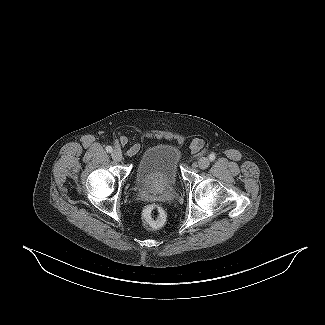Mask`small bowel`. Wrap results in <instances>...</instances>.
<instances>
[{
    "instance_id": "1",
    "label": "small bowel",
    "mask_w": 325,
    "mask_h": 325,
    "mask_svg": "<svg viewBox=\"0 0 325 325\" xmlns=\"http://www.w3.org/2000/svg\"><path fill=\"white\" fill-rule=\"evenodd\" d=\"M120 143L122 144V145H124L125 144V139L124 138H121L120 139ZM135 147H132L130 150H129V153L130 154H132V153H134L135 152Z\"/></svg>"
}]
</instances>
